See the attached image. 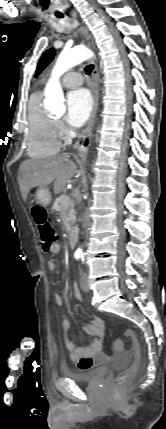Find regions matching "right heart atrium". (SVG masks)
I'll return each instance as SVG.
<instances>
[{
  "label": "right heart atrium",
  "mask_w": 166,
  "mask_h": 429,
  "mask_svg": "<svg viewBox=\"0 0 166 429\" xmlns=\"http://www.w3.org/2000/svg\"><path fill=\"white\" fill-rule=\"evenodd\" d=\"M55 126H56L57 131H59V132L63 131V124L61 123V121L56 120Z\"/></svg>",
  "instance_id": "d8ad5b80"
}]
</instances>
